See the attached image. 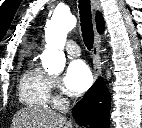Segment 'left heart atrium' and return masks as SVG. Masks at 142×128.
I'll return each instance as SVG.
<instances>
[{
  "instance_id": "obj_1",
  "label": "left heart atrium",
  "mask_w": 142,
  "mask_h": 128,
  "mask_svg": "<svg viewBox=\"0 0 142 128\" xmlns=\"http://www.w3.org/2000/svg\"><path fill=\"white\" fill-rule=\"evenodd\" d=\"M63 84L75 95L86 91L92 84V74L87 64L82 60L71 61L63 76Z\"/></svg>"
}]
</instances>
